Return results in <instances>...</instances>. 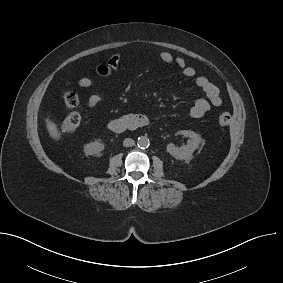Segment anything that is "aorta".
<instances>
[{"label": "aorta", "instance_id": "obj_1", "mask_svg": "<svg viewBox=\"0 0 283 283\" xmlns=\"http://www.w3.org/2000/svg\"><path fill=\"white\" fill-rule=\"evenodd\" d=\"M137 145L140 148H147V147H149V145H150L149 138L147 136H144V135L139 136L138 140H137Z\"/></svg>", "mask_w": 283, "mask_h": 283}]
</instances>
